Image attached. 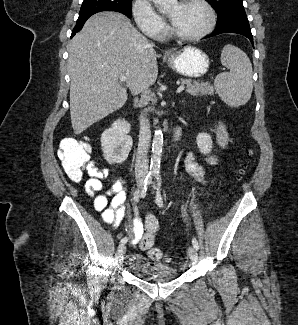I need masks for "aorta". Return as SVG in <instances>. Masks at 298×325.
<instances>
[{"mask_svg": "<svg viewBox=\"0 0 298 325\" xmlns=\"http://www.w3.org/2000/svg\"><path fill=\"white\" fill-rule=\"evenodd\" d=\"M152 2H154L156 6H160V8H164V10H168V8H173V6H177L178 4V0H152ZM162 148L163 132L161 128H156V130H154L152 142L150 173H156V171H160Z\"/></svg>", "mask_w": 298, "mask_h": 325, "instance_id": "1", "label": "aorta"}]
</instances>
